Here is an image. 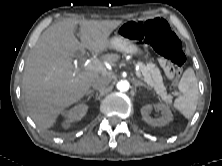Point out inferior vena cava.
<instances>
[{"instance_id":"602c4592","label":"inferior vena cava","mask_w":222,"mask_h":166,"mask_svg":"<svg viewBox=\"0 0 222 166\" xmlns=\"http://www.w3.org/2000/svg\"><path fill=\"white\" fill-rule=\"evenodd\" d=\"M110 84V80L106 77H98L92 82V87L96 90H104Z\"/></svg>"}]
</instances>
